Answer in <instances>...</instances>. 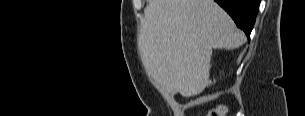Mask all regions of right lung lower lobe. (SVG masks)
Listing matches in <instances>:
<instances>
[{"label":"right lung lower lobe","mask_w":305,"mask_h":116,"mask_svg":"<svg viewBox=\"0 0 305 116\" xmlns=\"http://www.w3.org/2000/svg\"><path fill=\"white\" fill-rule=\"evenodd\" d=\"M242 29L250 40L260 0H215Z\"/></svg>","instance_id":"98d812e1"}]
</instances>
